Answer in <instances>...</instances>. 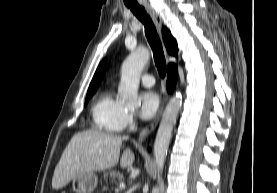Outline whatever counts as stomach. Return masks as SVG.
Segmentation results:
<instances>
[{
    "mask_svg": "<svg viewBox=\"0 0 277 193\" xmlns=\"http://www.w3.org/2000/svg\"><path fill=\"white\" fill-rule=\"evenodd\" d=\"M98 182L94 172H86L73 178L72 189L76 193H92Z\"/></svg>",
    "mask_w": 277,
    "mask_h": 193,
    "instance_id": "obj_1",
    "label": "stomach"
}]
</instances>
